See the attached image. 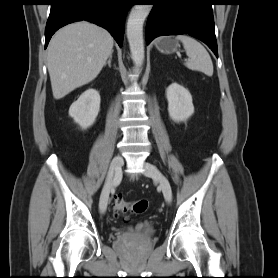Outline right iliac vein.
Returning <instances> with one entry per match:
<instances>
[{
	"mask_svg": "<svg viewBox=\"0 0 278 278\" xmlns=\"http://www.w3.org/2000/svg\"><path fill=\"white\" fill-rule=\"evenodd\" d=\"M122 165H123V158L120 155L115 156L111 162L108 175L100 195L99 210L101 213H105L107 209V204H108L110 190L112 187L114 174L118 170H121Z\"/></svg>",
	"mask_w": 278,
	"mask_h": 278,
	"instance_id": "right-iliac-vein-1",
	"label": "right iliac vein"
}]
</instances>
